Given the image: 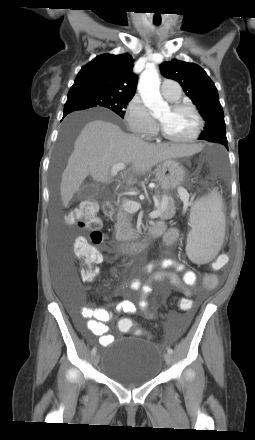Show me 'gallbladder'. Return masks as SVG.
Listing matches in <instances>:
<instances>
[{"label":"gallbladder","mask_w":255,"mask_h":440,"mask_svg":"<svg viewBox=\"0 0 255 440\" xmlns=\"http://www.w3.org/2000/svg\"><path fill=\"white\" fill-rule=\"evenodd\" d=\"M97 192H98L97 185L93 183H86L79 189L76 198L77 199L92 198L97 194Z\"/></svg>","instance_id":"bac80fb5"}]
</instances>
